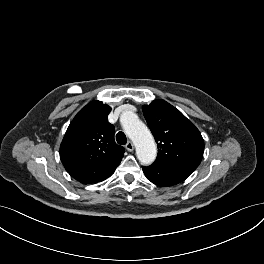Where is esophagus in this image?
Masks as SVG:
<instances>
[{"mask_svg": "<svg viewBox=\"0 0 264 264\" xmlns=\"http://www.w3.org/2000/svg\"><path fill=\"white\" fill-rule=\"evenodd\" d=\"M125 147L130 152L134 150V144L131 141H129Z\"/></svg>", "mask_w": 264, "mask_h": 264, "instance_id": "34e87169", "label": "esophagus"}]
</instances>
